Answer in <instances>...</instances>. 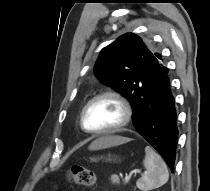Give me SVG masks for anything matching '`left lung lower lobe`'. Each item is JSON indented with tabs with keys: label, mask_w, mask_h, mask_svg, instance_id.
<instances>
[{
	"label": "left lung lower lobe",
	"mask_w": 210,
	"mask_h": 191,
	"mask_svg": "<svg viewBox=\"0 0 210 191\" xmlns=\"http://www.w3.org/2000/svg\"><path fill=\"white\" fill-rule=\"evenodd\" d=\"M155 81L156 85L150 93L139 102L133 125L137 132L158 151L173 172L178 128L166 66L157 70Z\"/></svg>",
	"instance_id": "obj_1"
}]
</instances>
